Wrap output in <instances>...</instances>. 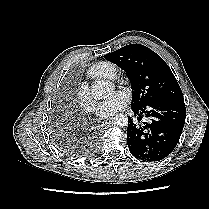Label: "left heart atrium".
I'll return each mask as SVG.
<instances>
[{
    "label": "left heart atrium",
    "mask_w": 209,
    "mask_h": 209,
    "mask_svg": "<svg viewBox=\"0 0 209 209\" xmlns=\"http://www.w3.org/2000/svg\"><path fill=\"white\" fill-rule=\"evenodd\" d=\"M129 102V96L127 93L119 91L116 92L111 98L103 102L98 108V116L101 118H107L121 109H123Z\"/></svg>",
    "instance_id": "1"
}]
</instances>
